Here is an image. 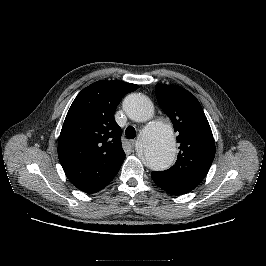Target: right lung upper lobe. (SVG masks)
I'll list each match as a JSON object with an SVG mask.
<instances>
[{
    "instance_id": "right-lung-upper-lobe-1",
    "label": "right lung upper lobe",
    "mask_w": 266,
    "mask_h": 266,
    "mask_svg": "<svg viewBox=\"0 0 266 266\" xmlns=\"http://www.w3.org/2000/svg\"><path fill=\"white\" fill-rule=\"evenodd\" d=\"M136 84L97 81L83 89L66 115L58 141V157L74 186L85 193L103 189L118 173L125 152L114 112Z\"/></svg>"
}]
</instances>
